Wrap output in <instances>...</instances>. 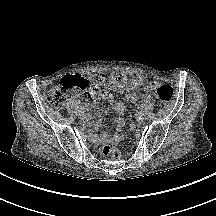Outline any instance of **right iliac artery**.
<instances>
[{
  "label": "right iliac artery",
  "mask_w": 216,
  "mask_h": 216,
  "mask_svg": "<svg viewBox=\"0 0 216 216\" xmlns=\"http://www.w3.org/2000/svg\"><path fill=\"white\" fill-rule=\"evenodd\" d=\"M85 112H86V111H85L84 109H80V110H79V113H80V114H84Z\"/></svg>",
  "instance_id": "obj_1"
}]
</instances>
